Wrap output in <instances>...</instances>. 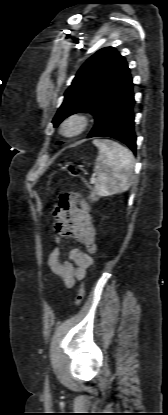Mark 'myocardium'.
Returning a JSON list of instances; mask_svg holds the SVG:
<instances>
[{
    "label": "myocardium",
    "mask_w": 168,
    "mask_h": 415,
    "mask_svg": "<svg viewBox=\"0 0 168 415\" xmlns=\"http://www.w3.org/2000/svg\"><path fill=\"white\" fill-rule=\"evenodd\" d=\"M90 116L85 112H74L66 116L59 125V132L66 138H75L88 130Z\"/></svg>",
    "instance_id": "myocardium-1"
}]
</instances>
